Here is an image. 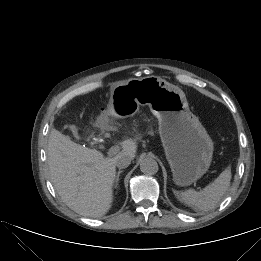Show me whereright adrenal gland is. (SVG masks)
<instances>
[{"mask_svg":"<svg viewBox=\"0 0 261 261\" xmlns=\"http://www.w3.org/2000/svg\"><path fill=\"white\" fill-rule=\"evenodd\" d=\"M123 172V170H119L117 172V175H116V178H115V183H116V186H118V182H119V177H120V174Z\"/></svg>","mask_w":261,"mask_h":261,"instance_id":"right-adrenal-gland-1","label":"right adrenal gland"}]
</instances>
